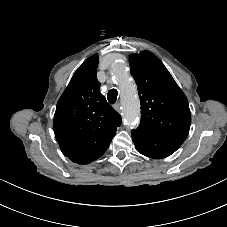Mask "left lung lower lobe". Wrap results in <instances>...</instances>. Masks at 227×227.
Wrapping results in <instances>:
<instances>
[{"instance_id":"left-lung-lower-lobe-1","label":"left lung lower lobe","mask_w":227,"mask_h":227,"mask_svg":"<svg viewBox=\"0 0 227 227\" xmlns=\"http://www.w3.org/2000/svg\"><path fill=\"white\" fill-rule=\"evenodd\" d=\"M136 150L150 158L161 159L174 153L181 144L144 127L132 131Z\"/></svg>"}]
</instances>
